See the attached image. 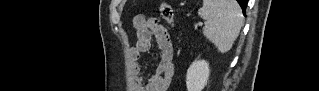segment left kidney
<instances>
[{
    "label": "left kidney",
    "mask_w": 319,
    "mask_h": 91,
    "mask_svg": "<svg viewBox=\"0 0 319 91\" xmlns=\"http://www.w3.org/2000/svg\"><path fill=\"white\" fill-rule=\"evenodd\" d=\"M209 74L210 69L207 61H194L188 68L186 74L187 91H202L207 85Z\"/></svg>",
    "instance_id": "obj_1"
}]
</instances>
